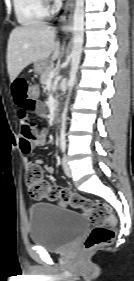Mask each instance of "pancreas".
I'll use <instances>...</instances> for the list:
<instances>
[{"label": "pancreas", "mask_w": 134, "mask_h": 281, "mask_svg": "<svg viewBox=\"0 0 134 281\" xmlns=\"http://www.w3.org/2000/svg\"><path fill=\"white\" fill-rule=\"evenodd\" d=\"M54 71L53 63H50L41 73H40V83L45 85L49 79L50 72Z\"/></svg>", "instance_id": "cf45deb5"}]
</instances>
